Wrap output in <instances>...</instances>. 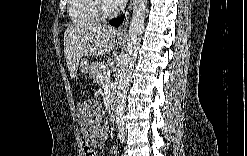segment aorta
<instances>
[{
    "mask_svg": "<svg viewBox=\"0 0 247 156\" xmlns=\"http://www.w3.org/2000/svg\"><path fill=\"white\" fill-rule=\"evenodd\" d=\"M146 6L147 0L133 1V14L129 26L128 43L122 61L117 88L115 119L116 124L119 126L124 125L127 92L131 81L132 68L137 58L141 36L144 29Z\"/></svg>",
    "mask_w": 247,
    "mask_h": 156,
    "instance_id": "aorta-1",
    "label": "aorta"
}]
</instances>
